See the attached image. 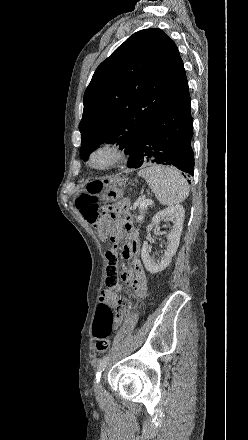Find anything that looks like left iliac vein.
I'll use <instances>...</instances> for the list:
<instances>
[{
  "instance_id": "1",
  "label": "left iliac vein",
  "mask_w": 248,
  "mask_h": 440,
  "mask_svg": "<svg viewBox=\"0 0 248 440\" xmlns=\"http://www.w3.org/2000/svg\"><path fill=\"white\" fill-rule=\"evenodd\" d=\"M95 391H96V394H97V395H101V394H102V391H103V385H102V382H101V381H99V382L96 383V385H95Z\"/></svg>"
}]
</instances>
